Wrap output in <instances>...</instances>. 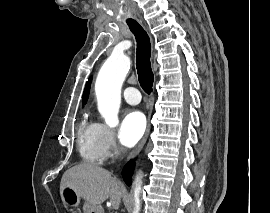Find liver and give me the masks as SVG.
<instances>
[{
    "instance_id": "6515ba94",
    "label": "liver",
    "mask_w": 270,
    "mask_h": 213,
    "mask_svg": "<svg viewBox=\"0 0 270 213\" xmlns=\"http://www.w3.org/2000/svg\"><path fill=\"white\" fill-rule=\"evenodd\" d=\"M71 186L78 196L92 206H100L107 199L114 209L120 205L124 186L111 173L89 162L76 165L63 174L60 193L65 186ZM63 201V200H62ZM64 205L67 204L63 201Z\"/></svg>"
}]
</instances>
